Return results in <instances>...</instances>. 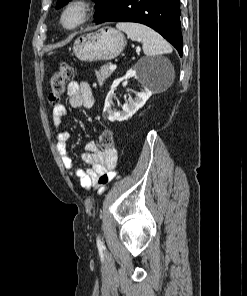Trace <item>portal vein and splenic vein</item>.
<instances>
[{"label": "portal vein and splenic vein", "instance_id": "18ae733b", "mask_svg": "<svg viewBox=\"0 0 247 296\" xmlns=\"http://www.w3.org/2000/svg\"><path fill=\"white\" fill-rule=\"evenodd\" d=\"M116 67H117L116 64H112V63H111L110 66H109V69H110V70H115Z\"/></svg>", "mask_w": 247, "mask_h": 296}]
</instances>
